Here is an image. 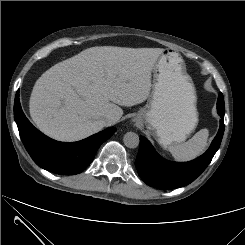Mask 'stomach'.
<instances>
[{"label": "stomach", "instance_id": "obj_1", "mask_svg": "<svg viewBox=\"0 0 245 245\" xmlns=\"http://www.w3.org/2000/svg\"><path fill=\"white\" fill-rule=\"evenodd\" d=\"M147 104L135 115L158 143L170 147L184 142L198 124L197 96L182 56L164 49L152 69Z\"/></svg>", "mask_w": 245, "mask_h": 245}]
</instances>
